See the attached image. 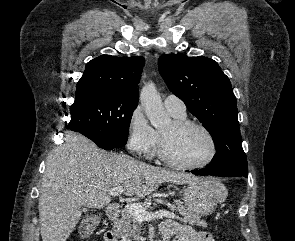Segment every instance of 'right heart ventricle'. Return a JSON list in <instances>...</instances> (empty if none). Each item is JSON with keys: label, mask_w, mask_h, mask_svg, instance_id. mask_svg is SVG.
<instances>
[{"label": "right heart ventricle", "mask_w": 295, "mask_h": 241, "mask_svg": "<svg viewBox=\"0 0 295 241\" xmlns=\"http://www.w3.org/2000/svg\"><path fill=\"white\" fill-rule=\"evenodd\" d=\"M170 114L173 116L174 119L176 120H184L186 119V114L184 115H179V114H174V113H171ZM157 139H158V134H157Z\"/></svg>", "instance_id": "obj_1"}]
</instances>
